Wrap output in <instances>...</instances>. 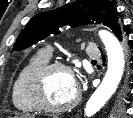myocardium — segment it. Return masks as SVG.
Here are the masks:
<instances>
[{"mask_svg": "<svg viewBox=\"0 0 133 118\" xmlns=\"http://www.w3.org/2000/svg\"><path fill=\"white\" fill-rule=\"evenodd\" d=\"M55 70H64L73 75L70 66L63 62H48L32 73L28 80V96L37 109L50 113H65L73 109L79 102L80 96L76 92L75 97L67 104L54 106L47 103L44 98L43 89L47 76Z\"/></svg>", "mask_w": 133, "mask_h": 118, "instance_id": "1", "label": "myocardium"}]
</instances>
